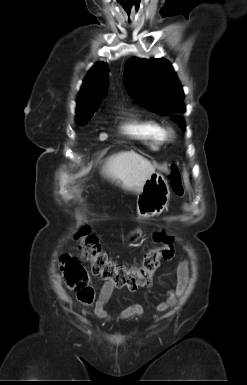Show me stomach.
Listing matches in <instances>:
<instances>
[{
	"mask_svg": "<svg viewBox=\"0 0 247 385\" xmlns=\"http://www.w3.org/2000/svg\"><path fill=\"white\" fill-rule=\"evenodd\" d=\"M170 189L165 178L158 173L152 174L144 183L137 198V212L141 217L160 214L168 205ZM141 236L139 230L129 234L127 240L135 242Z\"/></svg>",
	"mask_w": 247,
	"mask_h": 385,
	"instance_id": "0dacf381",
	"label": "stomach"
}]
</instances>
